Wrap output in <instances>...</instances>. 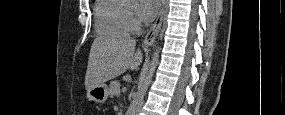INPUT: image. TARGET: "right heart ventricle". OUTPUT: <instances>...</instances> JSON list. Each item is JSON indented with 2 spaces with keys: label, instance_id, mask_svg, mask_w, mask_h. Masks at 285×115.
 Here are the masks:
<instances>
[{
  "label": "right heart ventricle",
  "instance_id": "right-heart-ventricle-1",
  "mask_svg": "<svg viewBox=\"0 0 285 115\" xmlns=\"http://www.w3.org/2000/svg\"><path fill=\"white\" fill-rule=\"evenodd\" d=\"M95 29L102 37H120L135 28L128 8L121 0H98L95 5Z\"/></svg>",
  "mask_w": 285,
  "mask_h": 115
}]
</instances>
